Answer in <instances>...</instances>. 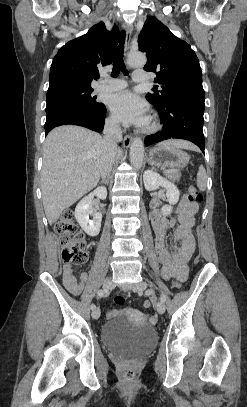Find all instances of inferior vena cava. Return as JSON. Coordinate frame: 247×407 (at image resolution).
Instances as JSON below:
<instances>
[{"mask_svg": "<svg viewBox=\"0 0 247 407\" xmlns=\"http://www.w3.org/2000/svg\"><path fill=\"white\" fill-rule=\"evenodd\" d=\"M104 154L101 161L100 172L103 179H106L111 170L117 150V144L122 141V131L117 121L107 120L104 126Z\"/></svg>", "mask_w": 247, "mask_h": 407, "instance_id": "1", "label": "inferior vena cava"}]
</instances>
